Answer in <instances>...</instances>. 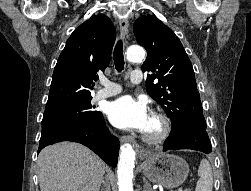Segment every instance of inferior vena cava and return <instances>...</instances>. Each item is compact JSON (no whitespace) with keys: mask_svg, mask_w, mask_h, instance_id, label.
Segmentation results:
<instances>
[{"mask_svg":"<svg viewBox=\"0 0 251 191\" xmlns=\"http://www.w3.org/2000/svg\"><path fill=\"white\" fill-rule=\"evenodd\" d=\"M104 191H108V189H104Z\"/></svg>","mask_w":251,"mask_h":191,"instance_id":"obj_1","label":"inferior vena cava"}]
</instances>
